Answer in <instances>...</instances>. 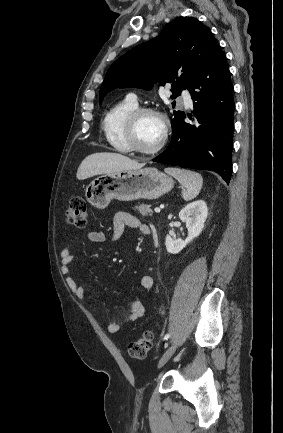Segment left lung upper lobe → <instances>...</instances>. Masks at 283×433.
<instances>
[{
  "mask_svg": "<svg viewBox=\"0 0 283 433\" xmlns=\"http://www.w3.org/2000/svg\"><path fill=\"white\" fill-rule=\"evenodd\" d=\"M217 41L209 28L193 17L168 23L154 39L140 44L117 59L102 83L99 102L117 87L150 90L154 82L173 83L176 98ZM181 114L174 111L173 120Z\"/></svg>",
  "mask_w": 283,
  "mask_h": 433,
  "instance_id": "1",
  "label": "left lung upper lobe"
}]
</instances>
